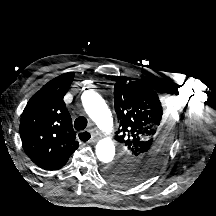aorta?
<instances>
[{"label": "aorta", "mask_w": 216, "mask_h": 216, "mask_svg": "<svg viewBox=\"0 0 216 216\" xmlns=\"http://www.w3.org/2000/svg\"><path fill=\"white\" fill-rule=\"evenodd\" d=\"M82 103L86 113L105 134L113 130L111 112L103 98L94 91H87L82 95ZM96 156L102 163H110L115 156L114 142L106 137L96 145Z\"/></svg>", "instance_id": "762f6f07"}]
</instances>
